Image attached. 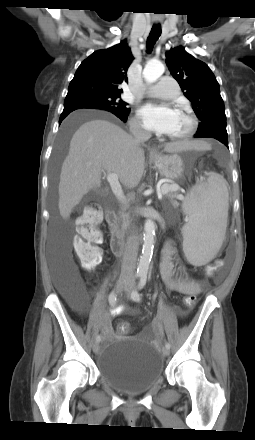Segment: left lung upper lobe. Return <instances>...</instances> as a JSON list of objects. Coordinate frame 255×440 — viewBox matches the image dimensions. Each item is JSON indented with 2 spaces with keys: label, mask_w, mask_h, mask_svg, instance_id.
I'll return each mask as SVG.
<instances>
[{
  "label": "left lung upper lobe",
  "mask_w": 255,
  "mask_h": 440,
  "mask_svg": "<svg viewBox=\"0 0 255 440\" xmlns=\"http://www.w3.org/2000/svg\"><path fill=\"white\" fill-rule=\"evenodd\" d=\"M166 63L201 121L196 134L227 136L225 106L219 84L210 68L181 46L166 53Z\"/></svg>",
  "instance_id": "left-lung-upper-lobe-1"
}]
</instances>
